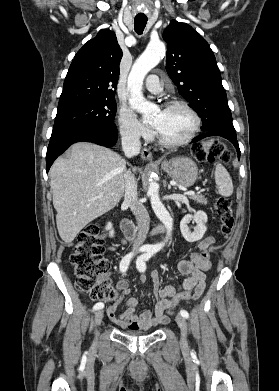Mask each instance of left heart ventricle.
Returning a JSON list of instances; mask_svg holds the SVG:
<instances>
[{
	"instance_id": "b2bd125f",
	"label": "left heart ventricle",
	"mask_w": 279,
	"mask_h": 391,
	"mask_svg": "<svg viewBox=\"0 0 279 391\" xmlns=\"http://www.w3.org/2000/svg\"><path fill=\"white\" fill-rule=\"evenodd\" d=\"M151 123L162 136L170 141L184 139L193 127V118L182 107H173L157 111Z\"/></svg>"
}]
</instances>
